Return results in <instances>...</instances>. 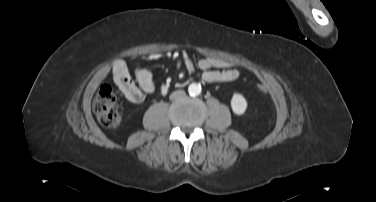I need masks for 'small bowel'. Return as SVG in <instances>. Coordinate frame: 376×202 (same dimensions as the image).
I'll use <instances>...</instances> for the list:
<instances>
[{"label": "small bowel", "mask_w": 376, "mask_h": 202, "mask_svg": "<svg viewBox=\"0 0 376 202\" xmlns=\"http://www.w3.org/2000/svg\"><path fill=\"white\" fill-rule=\"evenodd\" d=\"M181 58L189 72H194L195 65L187 51L181 52ZM198 68L203 71L202 79L207 83L231 82L239 77L237 66L223 58L203 57L198 63ZM113 81L124 97L133 104L144 100V93L155 90L152 73L146 68L135 70L133 80L127 63L117 60L112 68Z\"/></svg>", "instance_id": "c3829d8e"}]
</instances>
